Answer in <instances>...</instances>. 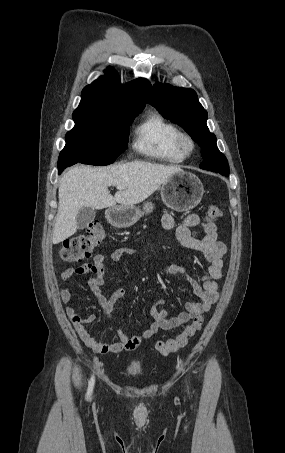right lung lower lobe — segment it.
Instances as JSON below:
<instances>
[{
    "mask_svg": "<svg viewBox=\"0 0 285 453\" xmlns=\"http://www.w3.org/2000/svg\"><path fill=\"white\" fill-rule=\"evenodd\" d=\"M73 165L72 162L58 160V174H60L66 167Z\"/></svg>",
    "mask_w": 285,
    "mask_h": 453,
    "instance_id": "1",
    "label": "right lung lower lobe"
}]
</instances>
